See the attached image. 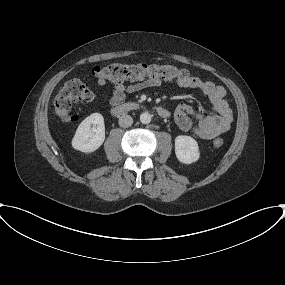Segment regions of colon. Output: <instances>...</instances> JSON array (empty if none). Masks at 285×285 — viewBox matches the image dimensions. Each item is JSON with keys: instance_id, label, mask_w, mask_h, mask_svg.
Here are the masks:
<instances>
[{"instance_id": "colon-1", "label": "colon", "mask_w": 285, "mask_h": 285, "mask_svg": "<svg viewBox=\"0 0 285 285\" xmlns=\"http://www.w3.org/2000/svg\"><path fill=\"white\" fill-rule=\"evenodd\" d=\"M98 83L124 82L126 80H160L170 82H180L190 80L193 76L186 70L171 64H122L112 63L105 67H95L92 71ZM93 99V92L86 82L73 79L66 82L53 100V107L58 118L66 123L74 122L78 119L72 113V107L77 102L90 101ZM224 145L222 138H215L212 141L214 148Z\"/></svg>"}]
</instances>
